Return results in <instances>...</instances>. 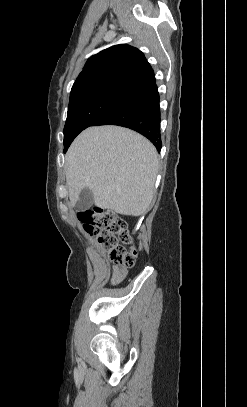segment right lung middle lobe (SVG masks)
I'll list each match as a JSON object with an SVG mask.
<instances>
[{
    "instance_id": "obj_1",
    "label": "right lung middle lobe",
    "mask_w": 247,
    "mask_h": 407,
    "mask_svg": "<svg viewBox=\"0 0 247 407\" xmlns=\"http://www.w3.org/2000/svg\"><path fill=\"white\" fill-rule=\"evenodd\" d=\"M136 90L126 87H111L91 93L69 103L64 127V152L74 138L85 128L92 126L100 117L118 106Z\"/></svg>"
}]
</instances>
